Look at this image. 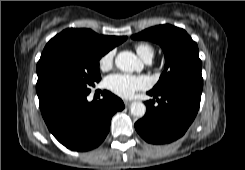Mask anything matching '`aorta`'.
<instances>
[{"instance_id": "aorta-1", "label": "aorta", "mask_w": 245, "mask_h": 170, "mask_svg": "<svg viewBox=\"0 0 245 170\" xmlns=\"http://www.w3.org/2000/svg\"><path fill=\"white\" fill-rule=\"evenodd\" d=\"M115 64L117 68L125 72L138 71L142 68L140 60L130 51H122L118 53L115 58ZM130 112L133 116L143 117L146 112V107L142 102L135 101L130 105Z\"/></svg>"}]
</instances>
